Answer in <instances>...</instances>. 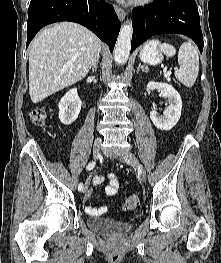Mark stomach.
Returning <instances> with one entry per match:
<instances>
[{
  "label": "stomach",
  "mask_w": 221,
  "mask_h": 263,
  "mask_svg": "<svg viewBox=\"0 0 221 263\" xmlns=\"http://www.w3.org/2000/svg\"><path fill=\"white\" fill-rule=\"evenodd\" d=\"M157 45L158 41H150L140 51V58L144 63L157 65L162 61L163 56L158 50Z\"/></svg>",
  "instance_id": "0dacf381"
}]
</instances>
